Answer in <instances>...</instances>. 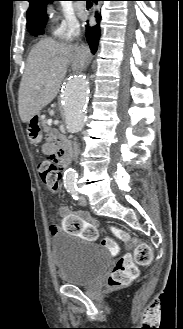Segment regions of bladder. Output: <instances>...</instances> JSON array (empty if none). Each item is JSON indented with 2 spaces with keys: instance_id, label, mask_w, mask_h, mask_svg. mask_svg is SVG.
<instances>
[{
  "instance_id": "bladder-1",
  "label": "bladder",
  "mask_w": 183,
  "mask_h": 329,
  "mask_svg": "<svg viewBox=\"0 0 183 329\" xmlns=\"http://www.w3.org/2000/svg\"><path fill=\"white\" fill-rule=\"evenodd\" d=\"M51 251L58 278L66 284L90 286L104 276L111 264L102 246L68 232L53 237Z\"/></svg>"
}]
</instances>
